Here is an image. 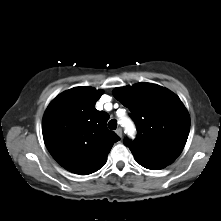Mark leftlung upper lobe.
<instances>
[{
	"instance_id": "left-lung-upper-lobe-1",
	"label": "left lung upper lobe",
	"mask_w": 221,
	"mask_h": 221,
	"mask_svg": "<svg viewBox=\"0 0 221 221\" xmlns=\"http://www.w3.org/2000/svg\"><path fill=\"white\" fill-rule=\"evenodd\" d=\"M113 95L131 111L138 128L134 141L124 140L135 159L173 162L190 130L189 114L179 97L152 83L118 87Z\"/></svg>"
}]
</instances>
